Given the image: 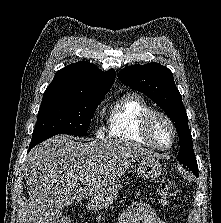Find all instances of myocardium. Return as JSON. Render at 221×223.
<instances>
[{"label":"myocardium","instance_id":"1","mask_svg":"<svg viewBox=\"0 0 221 223\" xmlns=\"http://www.w3.org/2000/svg\"><path fill=\"white\" fill-rule=\"evenodd\" d=\"M156 118H162L163 120H165L171 129L172 140L166 146H162L158 144L152 136V124ZM140 135L154 149H157L160 151H167L170 148H172L174 144L176 143L177 129H176L174 121L168 114L159 110L152 109L151 111L147 112L142 119L141 126H140Z\"/></svg>","mask_w":221,"mask_h":223}]
</instances>
